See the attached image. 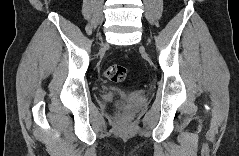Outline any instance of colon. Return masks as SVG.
Wrapping results in <instances>:
<instances>
[{
  "mask_svg": "<svg viewBox=\"0 0 239 156\" xmlns=\"http://www.w3.org/2000/svg\"><path fill=\"white\" fill-rule=\"evenodd\" d=\"M127 70L121 65H112L105 69L104 77L112 82H122L126 79ZM118 109L123 110L124 104L121 101L116 103Z\"/></svg>",
  "mask_w": 239,
  "mask_h": 156,
  "instance_id": "1",
  "label": "colon"
}]
</instances>
